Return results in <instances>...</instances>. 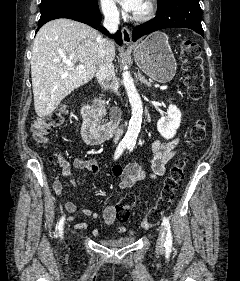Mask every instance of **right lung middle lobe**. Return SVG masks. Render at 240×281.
I'll return each mask as SVG.
<instances>
[{
    "mask_svg": "<svg viewBox=\"0 0 240 281\" xmlns=\"http://www.w3.org/2000/svg\"><path fill=\"white\" fill-rule=\"evenodd\" d=\"M61 3L75 4V5L90 7V8H95L98 6L97 0H42L40 10Z\"/></svg>",
    "mask_w": 240,
    "mask_h": 281,
    "instance_id": "dd1d6c3e",
    "label": "right lung middle lobe"
}]
</instances>
